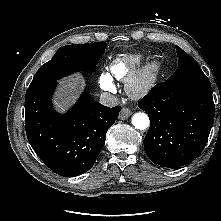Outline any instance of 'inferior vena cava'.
Here are the masks:
<instances>
[{"label": "inferior vena cava", "mask_w": 221, "mask_h": 221, "mask_svg": "<svg viewBox=\"0 0 221 221\" xmlns=\"http://www.w3.org/2000/svg\"><path fill=\"white\" fill-rule=\"evenodd\" d=\"M100 103L104 106L114 107L117 106L119 101L118 99L112 95L111 93L104 92L100 96Z\"/></svg>", "instance_id": "1"}]
</instances>
